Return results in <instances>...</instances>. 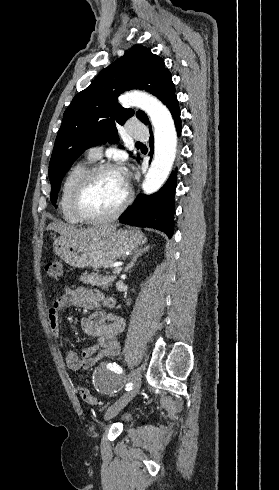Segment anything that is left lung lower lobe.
<instances>
[{
	"mask_svg": "<svg viewBox=\"0 0 279 490\" xmlns=\"http://www.w3.org/2000/svg\"><path fill=\"white\" fill-rule=\"evenodd\" d=\"M175 121L178 133L181 129L180 109L177 96H174L167 106ZM150 146L153 147V135L151 125ZM177 171H172L165 185L155 194L150 196L139 194L129 209L123 213L119 221L121 223L158 229L167 234L169 238L174 232L175 189Z\"/></svg>",
	"mask_w": 279,
	"mask_h": 490,
	"instance_id": "1",
	"label": "left lung lower lobe"
}]
</instances>
